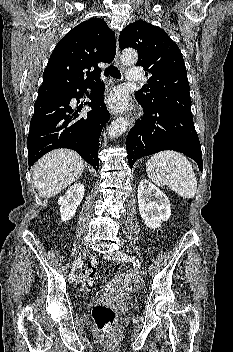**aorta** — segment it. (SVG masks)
Returning <instances> with one entry per match:
<instances>
[{
  "label": "aorta",
  "mask_w": 233,
  "mask_h": 352,
  "mask_svg": "<svg viewBox=\"0 0 233 352\" xmlns=\"http://www.w3.org/2000/svg\"><path fill=\"white\" fill-rule=\"evenodd\" d=\"M138 59L137 52L132 49L125 50L122 53V61L130 64L136 63ZM129 126V121L125 118H118L113 121L108 129L110 138H115L124 133Z\"/></svg>",
  "instance_id": "1"
}]
</instances>
